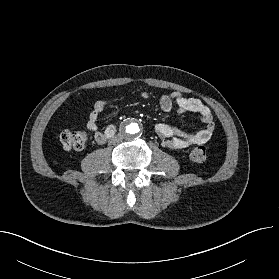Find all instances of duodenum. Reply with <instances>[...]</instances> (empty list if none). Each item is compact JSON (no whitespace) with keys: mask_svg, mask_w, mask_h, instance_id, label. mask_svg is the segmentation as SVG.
Wrapping results in <instances>:
<instances>
[{"mask_svg":"<svg viewBox=\"0 0 279 279\" xmlns=\"http://www.w3.org/2000/svg\"><path fill=\"white\" fill-rule=\"evenodd\" d=\"M116 128L114 125H111L106 130V139L111 138L115 134Z\"/></svg>","mask_w":279,"mask_h":279,"instance_id":"410a0bca","label":"duodenum"}]
</instances>
